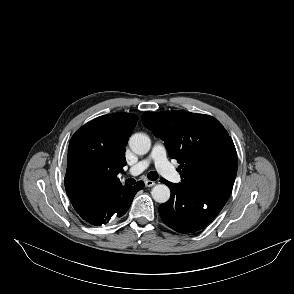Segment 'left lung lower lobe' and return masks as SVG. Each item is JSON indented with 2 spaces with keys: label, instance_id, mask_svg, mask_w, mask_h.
Listing matches in <instances>:
<instances>
[{
  "label": "left lung lower lobe",
  "instance_id": "1",
  "mask_svg": "<svg viewBox=\"0 0 294 294\" xmlns=\"http://www.w3.org/2000/svg\"><path fill=\"white\" fill-rule=\"evenodd\" d=\"M162 182L170 188L171 197L159 206V214L167 226L180 233H192L210 223L232 189L226 185L183 187L165 179Z\"/></svg>",
  "mask_w": 294,
  "mask_h": 294
}]
</instances>
